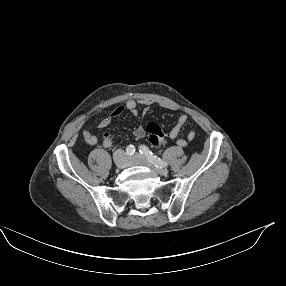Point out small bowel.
<instances>
[{
    "label": "small bowel",
    "mask_w": 286,
    "mask_h": 286,
    "mask_svg": "<svg viewBox=\"0 0 286 286\" xmlns=\"http://www.w3.org/2000/svg\"><path fill=\"white\" fill-rule=\"evenodd\" d=\"M143 105L146 106L148 109L152 102L150 100H144ZM128 111L131 113L133 116L138 115V102L135 99H129L126 101L125 105L118 106L116 109H114L107 117L102 119L99 123L100 128H105L111 124V122L119 117L124 111ZM188 120V116L186 114H181L175 125L172 127V129L168 133V138L171 140H176V144L179 147H186L188 145L189 141H193L195 139V132L194 131H189L187 134V138H178L180 131L182 127L185 125V123ZM83 138L86 141L87 144L89 145H96L98 143V138L94 134L90 133L87 130H83L82 132ZM134 135L137 138H143L146 135V130L143 126H138L134 129ZM113 144L112 140H102V145L105 148H110Z\"/></svg>",
    "instance_id": "obj_1"
}]
</instances>
